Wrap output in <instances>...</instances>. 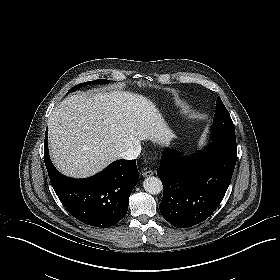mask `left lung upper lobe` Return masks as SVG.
Returning a JSON list of instances; mask_svg holds the SVG:
<instances>
[{
  "label": "left lung upper lobe",
  "mask_w": 280,
  "mask_h": 280,
  "mask_svg": "<svg viewBox=\"0 0 280 280\" xmlns=\"http://www.w3.org/2000/svg\"><path fill=\"white\" fill-rule=\"evenodd\" d=\"M210 130L212 141L236 145L235 128L220 97L216 101V113Z\"/></svg>",
  "instance_id": "1"
}]
</instances>
